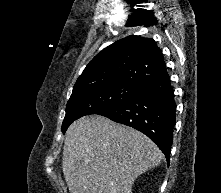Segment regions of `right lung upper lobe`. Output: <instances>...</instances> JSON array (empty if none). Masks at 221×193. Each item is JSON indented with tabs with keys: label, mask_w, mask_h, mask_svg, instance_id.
<instances>
[{
	"label": "right lung upper lobe",
	"mask_w": 221,
	"mask_h": 193,
	"mask_svg": "<svg viewBox=\"0 0 221 193\" xmlns=\"http://www.w3.org/2000/svg\"><path fill=\"white\" fill-rule=\"evenodd\" d=\"M167 75L162 51L156 42L131 35L98 53L79 76L73 90L117 82L142 85Z\"/></svg>",
	"instance_id": "1"
}]
</instances>
